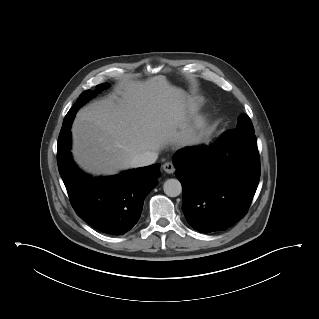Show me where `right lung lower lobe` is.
<instances>
[{"mask_svg":"<svg viewBox=\"0 0 319 319\" xmlns=\"http://www.w3.org/2000/svg\"><path fill=\"white\" fill-rule=\"evenodd\" d=\"M70 144L69 130L58 139L57 161L76 213L103 233L125 234L139 220L145 197L157 185L160 165L93 178L77 168L70 153Z\"/></svg>","mask_w":319,"mask_h":319,"instance_id":"98d812e1","label":"right lung lower lobe"}]
</instances>
